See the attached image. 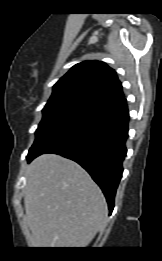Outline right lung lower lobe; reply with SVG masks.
Here are the masks:
<instances>
[{"mask_svg":"<svg viewBox=\"0 0 162 261\" xmlns=\"http://www.w3.org/2000/svg\"><path fill=\"white\" fill-rule=\"evenodd\" d=\"M128 122L129 113L123 97L56 130L34 152L28 153V162L45 153L76 161L100 186L111 213L127 153Z\"/></svg>","mask_w":162,"mask_h":261,"instance_id":"1","label":"right lung lower lobe"}]
</instances>
